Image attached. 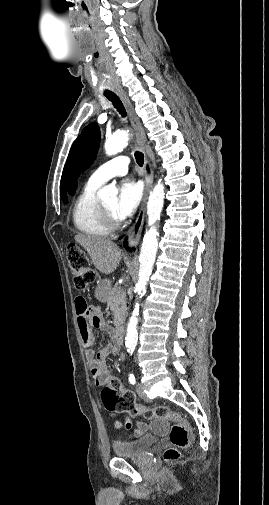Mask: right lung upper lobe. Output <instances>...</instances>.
<instances>
[{
    "instance_id": "obj_1",
    "label": "right lung upper lobe",
    "mask_w": 269,
    "mask_h": 505,
    "mask_svg": "<svg viewBox=\"0 0 269 505\" xmlns=\"http://www.w3.org/2000/svg\"><path fill=\"white\" fill-rule=\"evenodd\" d=\"M60 194L61 198L63 201L67 200L66 192H65V177H64V172L62 174V180H61V185H60Z\"/></svg>"
}]
</instances>
